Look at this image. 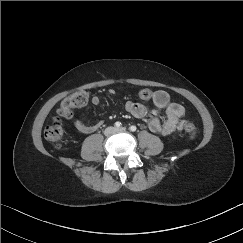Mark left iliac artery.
Wrapping results in <instances>:
<instances>
[{
  "mask_svg": "<svg viewBox=\"0 0 243 243\" xmlns=\"http://www.w3.org/2000/svg\"><path fill=\"white\" fill-rule=\"evenodd\" d=\"M136 129H137V128H136V126H134V125L130 126V128H129V130L132 131V132H135Z\"/></svg>",
  "mask_w": 243,
  "mask_h": 243,
  "instance_id": "obj_1",
  "label": "left iliac artery"
}]
</instances>
